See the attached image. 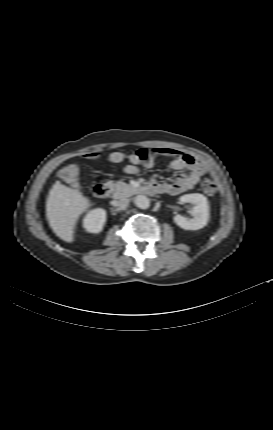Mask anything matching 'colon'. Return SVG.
I'll list each match as a JSON object with an SVG mask.
<instances>
[{
    "instance_id": "5ec220e1",
    "label": "colon",
    "mask_w": 273,
    "mask_h": 430,
    "mask_svg": "<svg viewBox=\"0 0 273 430\" xmlns=\"http://www.w3.org/2000/svg\"><path fill=\"white\" fill-rule=\"evenodd\" d=\"M78 175L79 168L76 164H69L60 171V178L73 187L78 185ZM202 189L206 194L214 195L217 190V186L213 181L206 179L202 183Z\"/></svg>"
}]
</instances>
